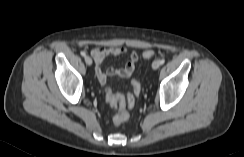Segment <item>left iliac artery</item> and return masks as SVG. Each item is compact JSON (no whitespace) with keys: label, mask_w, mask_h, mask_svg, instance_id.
<instances>
[{"label":"left iliac artery","mask_w":244,"mask_h":157,"mask_svg":"<svg viewBox=\"0 0 244 157\" xmlns=\"http://www.w3.org/2000/svg\"><path fill=\"white\" fill-rule=\"evenodd\" d=\"M159 63H160V65H163V64L165 63V59H164V58L161 59V60L159 61Z\"/></svg>","instance_id":"1"}]
</instances>
